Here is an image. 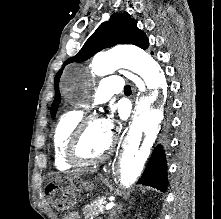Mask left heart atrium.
<instances>
[{
  "mask_svg": "<svg viewBox=\"0 0 221 219\" xmlns=\"http://www.w3.org/2000/svg\"><path fill=\"white\" fill-rule=\"evenodd\" d=\"M101 122L102 128L108 133L111 134L113 128H114V119L113 118H106L103 119Z\"/></svg>",
  "mask_w": 221,
  "mask_h": 219,
  "instance_id": "1",
  "label": "left heart atrium"
}]
</instances>
